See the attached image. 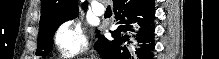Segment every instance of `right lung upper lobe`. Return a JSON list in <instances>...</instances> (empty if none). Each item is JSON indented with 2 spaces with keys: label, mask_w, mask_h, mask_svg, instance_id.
<instances>
[{
  "label": "right lung upper lobe",
  "mask_w": 219,
  "mask_h": 59,
  "mask_svg": "<svg viewBox=\"0 0 219 59\" xmlns=\"http://www.w3.org/2000/svg\"><path fill=\"white\" fill-rule=\"evenodd\" d=\"M82 5L83 9H86L87 2ZM77 12L78 0H42L39 28H43L52 22L76 16Z\"/></svg>",
  "instance_id": "right-lung-upper-lobe-1"
}]
</instances>
